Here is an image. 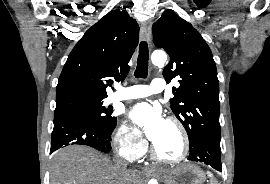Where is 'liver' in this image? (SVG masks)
<instances>
[{
  "instance_id": "liver-1",
  "label": "liver",
  "mask_w": 270,
  "mask_h": 184,
  "mask_svg": "<svg viewBox=\"0 0 270 184\" xmlns=\"http://www.w3.org/2000/svg\"><path fill=\"white\" fill-rule=\"evenodd\" d=\"M139 176L81 145L59 149L53 156L50 184H136Z\"/></svg>"
}]
</instances>
